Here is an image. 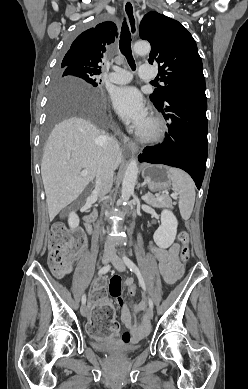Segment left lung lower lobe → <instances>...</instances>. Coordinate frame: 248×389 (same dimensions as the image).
<instances>
[{"mask_svg": "<svg viewBox=\"0 0 248 389\" xmlns=\"http://www.w3.org/2000/svg\"><path fill=\"white\" fill-rule=\"evenodd\" d=\"M155 106L169 121L168 133L162 144L144 148L139 161L181 168L200 189L208 151L205 82L185 84Z\"/></svg>", "mask_w": 248, "mask_h": 389, "instance_id": "obj_1", "label": "left lung lower lobe"}]
</instances>
